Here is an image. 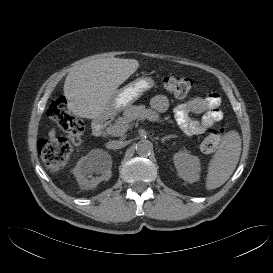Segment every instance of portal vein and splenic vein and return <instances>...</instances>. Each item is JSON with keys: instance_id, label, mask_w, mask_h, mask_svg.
I'll return each instance as SVG.
<instances>
[{"instance_id": "portal-vein-and-splenic-vein-1", "label": "portal vein and splenic vein", "mask_w": 273, "mask_h": 273, "mask_svg": "<svg viewBox=\"0 0 273 273\" xmlns=\"http://www.w3.org/2000/svg\"><path fill=\"white\" fill-rule=\"evenodd\" d=\"M128 130L127 126H121L118 128L109 127L107 128V133L112 136H119L123 135Z\"/></svg>"}]
</instances>
